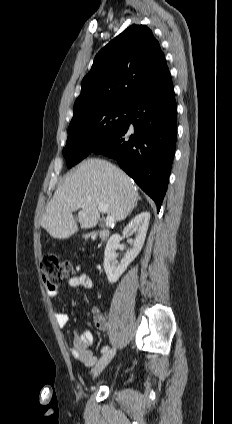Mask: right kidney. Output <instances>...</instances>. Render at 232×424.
<instances>
[{
  "mask_svg": "<svg viewBox=\"0 0 232 424\" xmlns=\"http://www.w3.org/2000/svg\"><path fill=\"white\" fill-rule=\"evenodd\" d=\"M150 220L149 212H142L136 215L130 223L124 228L123 235L135 234L132 248L127 252L120 263L116 260V249L119 246L122 237L115 234L110 237L104 252V270L110 283H116L120 276L125 272L128 265L137 257L141 251L146 238Z\"/></svg>",
  "mask_w": 232,
  "mask_h": 424,
  "instance_id": "ca27d5eb",
  "label": "right kidney"
}]
</instances>
